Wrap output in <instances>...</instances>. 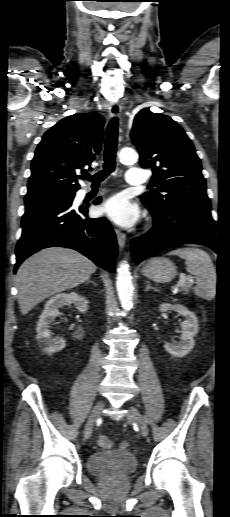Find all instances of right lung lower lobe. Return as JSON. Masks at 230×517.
Segmentation results:
<instances>
[{"label":"right lung lower lobe","instance_id":"1","mask_svg":"<svg viewBox=\"0 0 230 517\" xmlns=\"http://www.w3.org/2000/svg\"><path fill=\"white\" fill-rule=\"evenodd\" d=\"M99 202L100 197L94 203ZM71 204H26L21 223L23 232L16 246L14 272L30 255L53 246L75 249L99 267L114 270L117 242L109 221L88 218L86 208L72 210Z\"/></svg>","mask_w":230,"mask_h":517}]
</instances>
